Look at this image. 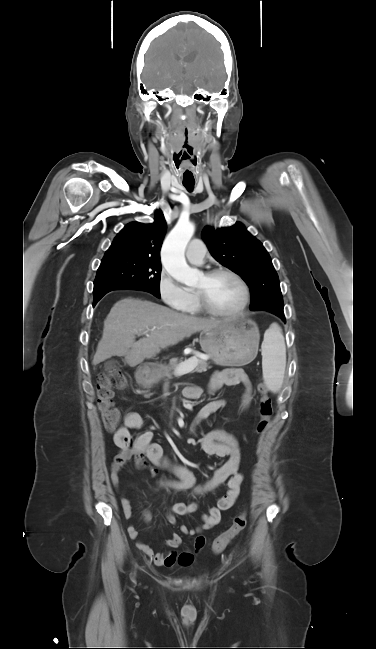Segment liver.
<instances>
[{"label": "liver", "mask_w": 376, "mask_h": 649, "mask_svg": "<svg viewBox=\"0 0 376 649\" xmlns=\"http://www.w3.org/2000/svg\"><path fill=\"white\" fill-rule=\"evenodd\" d=\"M221 322L184 315L151 301L122 299L114 304L104 321L92 364L112 356H124L125 362L134 367L162 349ZM144 332L148 335L136 342L135 336Z\"/></svg>", "instance_id": "6515ba94"}]
</instances>
